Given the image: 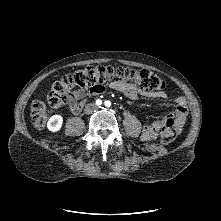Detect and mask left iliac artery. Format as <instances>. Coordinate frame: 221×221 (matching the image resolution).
<instances>
[{
  "label": "left iliac artery",
  "mask_w": 221,
  "mask_h": 221,
  "mask_svg": "<svg viewBox=\"0 0 221 221\" xmlns=\"http://www.w3.org/2000/svg\"><path fill=\"white\" fill-rule=\"evenodd\" d=\"M111 102L110 101H105V106L110 107Z\"/></svg>",
  "instance_id": "left-iliac-artery-1"
}]
</instances>
